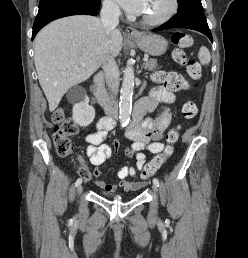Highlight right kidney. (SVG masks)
Instances as JSON below:
<instances>
[{
	"label": "right kidney",
	"instance_id": "obj_1",
	"mask_svg": "<svg viewBox=\"0 0 248 258\" xmlns=\"http://www.w3.org/2000/svg\"><path fill=\"white\" fill-rule=\"evenodd\" d=\"M68 99L73 101V120L80 126H88L95 118V110L89 105V98L86 91L77 87L68 93Z\"/></svg>",
	"mask_w": 248,
	"mask_h": 258
}]
</instances>
